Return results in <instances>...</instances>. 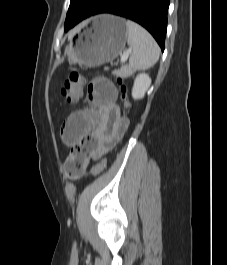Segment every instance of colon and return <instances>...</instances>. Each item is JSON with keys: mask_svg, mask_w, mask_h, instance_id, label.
<instances>
[{"mask_svg": "<svg viewBox=\"0 0 227 265\" xmlns=\"http://www.w3.org/2000/svg\"><path fill=\"white\" fill-rule=\"evenodd\" d=\"M120 86L121 99L125 109H128L130 103L127 99V89L122 79H117ZM86 83L85 77L79 72H71L64 82L61 89V95L69 103L76 102L82 95L83 87ZM85 156L77 149H72L65 162V169L71 177H74L84 166ZM107 165L106 158H102L91 170L92 176L101 174Z\"/></svg>", "mask_w": 227, "mask_h": 265, "instance_id": "1", "label": "colon"}]
</instances>
